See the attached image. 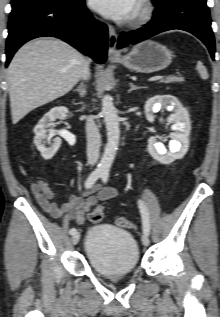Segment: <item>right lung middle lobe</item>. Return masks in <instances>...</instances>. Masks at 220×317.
I'll use <instances>...</instances> for the list:
<instances>
[{"label": "right lung middle lobe", "mask_w": 220, "mask_h": 317, "mask_svg": "<svg viewBox=\"0 0 220 317\" xmlns=\"http://www.w3.org/2000/svg\"><path fill=\"white\" fill-rule=\"evenodd\" d=\"M77 0H12V9H16L22 6L38 4V3H52V4H72Z\"/></svg>", "instance_id": "dd1d6c3e"}]
</instances>
